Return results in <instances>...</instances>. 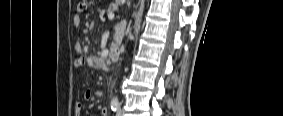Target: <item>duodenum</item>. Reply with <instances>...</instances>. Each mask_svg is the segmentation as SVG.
I'll list each match as a JSON object with an SVG mask.
<instances>
[{
  "label": "duodenum",
  "mask_w": 283,
  "mask_h": 116,
  "mask_svg": "<svg viewBox=\"0 0 283 116\" xmlns=\"http://www.w3.org/2000/svg\"><path fill=\"white\" fill-rule=\"evenodd\" d=\"M120 57V49L118 47H113L109 53V59L112 62H117Z\"/></svg>",
  "instance_id": "duodenum-1"
}]
</instances>
